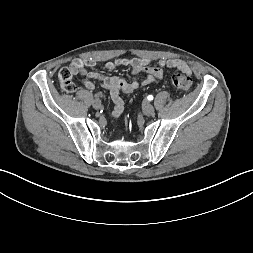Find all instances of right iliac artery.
Masks as SVG:
<instances>
[{
	"label": "right iliac artery",
	"instance_id": "obj_1",
	"mask_svg": "<svg viewBox=\"0 0 253 253\" xmlns=\"http://www.w3.org/2000/svg\"><path fill=\"white\" fill-rule=\"evenodd\" d=\"M103 97V94L102 93H96L95 94V98L96 99H100V98H102Z\"/></svg>",
	"mask_w": 253,
	"mask_h": 253
}]
</instances>
